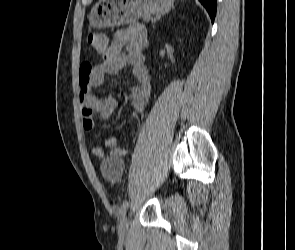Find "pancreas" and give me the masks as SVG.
Here are the masks:
<instances>
[{
  "label": "pancreas",
  "instance_id": "obj_1",
  "mask_svg": "<svg viewBox=\"0 0 295 250\" xmlns=\"http://www.w3.org/2000/svg\"><path fill=\"white\" fill-rule=\"evenodd\" d=\"M144 20L145 21H149V20H152L153 21L154 19L150 18L149 16H146V17H144Z\"/></svg>",
  "mask_w": 295,
  "mask_h": 250
}]
</instances>
